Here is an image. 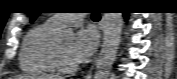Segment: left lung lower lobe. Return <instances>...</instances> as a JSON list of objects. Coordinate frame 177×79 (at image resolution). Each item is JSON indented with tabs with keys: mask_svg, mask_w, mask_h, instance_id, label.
<instances>
[{
	"mask_svg": "<svg viewBox=\"0 0 177 79\" xmlns=\"http://www.w3.org/2000/svg\"><path fill=\"white\" fill-rule=\"evenodd\" d=\"M124 16L127 18V13H124Z\"/></svg>",
	"mask_w": 177,
	"mask_h": 79,
	"instance_id": "obj_1",
	"label": "left lung lower lobe"
}]
</instances>
